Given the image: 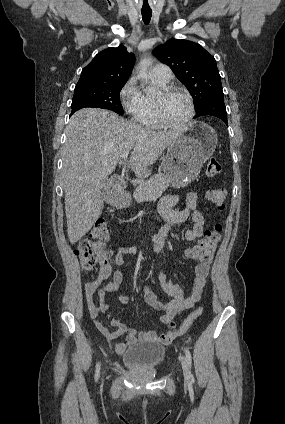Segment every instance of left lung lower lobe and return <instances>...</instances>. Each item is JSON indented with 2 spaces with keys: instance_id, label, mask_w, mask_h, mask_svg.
<instances>
[{
  "instance_id": "left-lung-lower-lobe-1",
  "label": "left lung lower lobe",
  "mask_w": 285,
  "mask_h": 424,
  "mask_svg": "<svg viewBox=\"0 0 285 424\" xmlns=\"http://www.w3.org/2000/svg\"><path fill=\"white\" fill-rule=\"evenodd\" d=\"M205 115L218 117L226 125H228V123H227V112H226V107H225V104H224V99H215V100L208 102L201 109L196 111V115H195L194 118L199 117V116H205Z\"/></svg>"
}]
</instances>
